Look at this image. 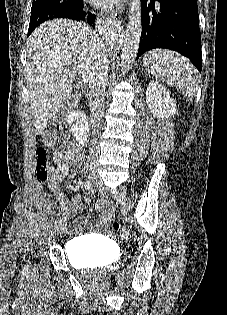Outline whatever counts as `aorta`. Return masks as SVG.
Listing matches in <instances>:
<instances>
[{"instance_id":"obj_1","label":"aorta","mask_w":227,"mask_h":315,"mask_svg":"<svg viewBox=\"0 0 227 315\" xmlns=\"http://www.w3.org/2000/svg\"><path fill=\"white\" fill-rule=\"evenodd\" d=\"M142 32L141 1L130 0L129 20L126 34L123 36L119 28L113 23H107L104 35L108 43L113 47H122L121 64L123 69H129L134 62Z\"/></svg>"}]
</instances>
